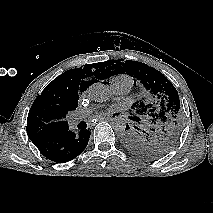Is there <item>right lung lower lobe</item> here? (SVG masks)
I'll return each instance as SVG.
<instances>
[{
    "label": "right lung lower lobe",
    "mask_w": 213,
    "mask_h": 213,
    "mask_svg": "<svg viewBox=\"0 0 213 213\" xmlns=\"http://www.w3.org/2000/svg\"><path fill=\"white\" fill-rule=\"evenodd\" d=\"M90 130L77 133L67 130L51 136L32 139L33 144L47 159L56 163H65L77 157L87 146Z\"/></svg>",
    "instance_id": "98d812e1"
}]
</instances>
